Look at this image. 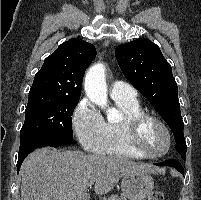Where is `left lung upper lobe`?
Wrapping results in <instances>:
<instances>
[{
    "label": "left lung upper lobe",
    "mask_w": 201,
    "mask_h": 200,
    "mask_svg": "<svg viewBox=\"0 0 201 200\" xmlns=\"http://www.w3.org/2000/svg\"><path fill=\"white\" fill-rule=\"evenodd\" d=\"M115 56L125 77L168 124L175 138L176 150L185 160L187 146L177 83L160 48L150 40L140 38L117 46Z\"/></svg>",
    "instance_id": "left-lung-upper-lobe-1"
}]
</instances>
